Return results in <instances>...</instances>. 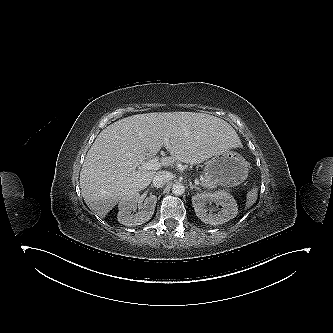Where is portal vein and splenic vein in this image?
<instances>
[{"mask_svg":"<svg viewBox=\"0 0 333 333\" xmlns=\"http://www.w3.org/2000/svg\"><path fill=\"white\" fill-rule=\"evenodd\" d=\"M165 145H169V140L166 139ZM161 167V163L159 162V157H155L148 162L142 163V165L139 167V169H144V170H158ZM195 184L199 185L200 182L199 180H195Z\"/></svg>","mask_w":333,"mask_h":333,"instance_id":"obj_1","label":"portal vein and splenic vein"}]
</instances>
